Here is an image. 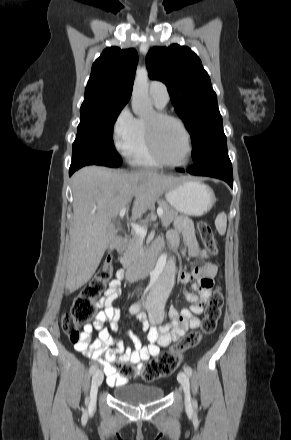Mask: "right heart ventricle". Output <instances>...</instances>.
<instances>
[{"mask_svg":"<svg viewBox=\"0 0 291 440\" xmlns=\"http://www.w3.org/2000/svg\"><path fill=\"white\" fill-rule=\"evenodd\" d=\"M156 106L159 109L163 108L157 103ZM144 120L145 119L142 118L136 119L135 137L126 153L127 160L129 164L134 167H160L161 164L153 157L150 152L146 139Z\"/></svg>","mask_w":291,"mask_h":440,"instance_id":"1","label":"right heart ventricle"}]
</instances>
